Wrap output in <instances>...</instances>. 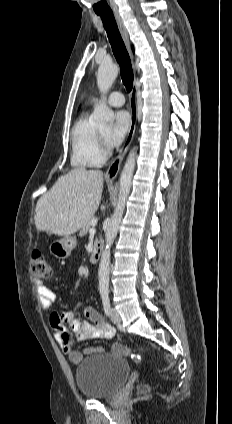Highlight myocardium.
<instances>
[{
  "label": "myocardium",
  "mask_w": 232,
  "mask_h": 424,
  "mask_svg": "<svg viewBox=\"0 0 232 424\" xmlns=\"http://www.w3.org/2000/svg\"><path fill=\"white\" fill-rule=\"evenodd\" d=\"M98 135H99V140H100L103 152H104L105 155H107L109 153V151L106 147V137H104L101 132H98Z\"/></svg>",
  "instance_id": "obj_1"
}]
</instances>
